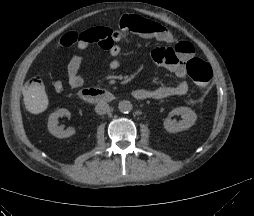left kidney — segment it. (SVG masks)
<instances>
[{
    "mask_svg": "<svg viewBox=\"0 0 254 216\" xmlns=\"http://www.w3.org/2000/svg\"><path fill=\"white\" fill-rule=\"evenodd\" d=\"M173 115H181L182 120L175 122L170 119ZM197 119L196 113L189 107H177L174 108L169 117L164 120V128L169 133H177L180 131H185L194 125Z\"/></svg>",
    "mask_w": 254,
    "mask_h": 216,
    "instance_id": "5707ae66",
    "label": "left kidney"
}]
</instances>
